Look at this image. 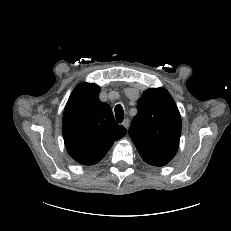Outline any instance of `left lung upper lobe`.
<instances>
[{
	"label": "left lung upper lobe",
	"instance_id": "1",
	"mask_svg": "<svg viewBox=\"0 0 231 231\" xmlns=\"http://www.w3.org/2000/svg\"><path fill=\"white\" fill-rule=\"evenodd\" d=\"M129 135L142 159L164 166L175 156L181 135V116L169 92L163 88L146 90L137 104Z\"/></svg>",
	"mask_w": 231,
	"mask_h": 231
}]
</instances>
